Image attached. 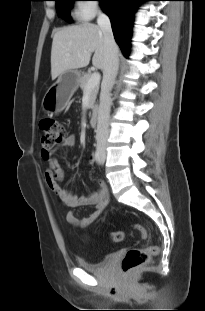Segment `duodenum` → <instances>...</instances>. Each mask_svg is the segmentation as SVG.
Here are the masks:
<instances>
[{
	"label": "duodenum",
	"instance_id": "1",
	"mask_svg": "<svg viewBox=\"0 0 205 311\" xmlns=\"http://www.w3.org/2000/svg\"><path fill=\"white\" fill-rule=\"evenodd\" d=\"M98 115H99L98 107L95 106L91 109L89 114V121L91 125L95 126L97 124Z\"/></svg>",
	"mask_w": 205,
	"mask_h": 311
}]
</instances>
